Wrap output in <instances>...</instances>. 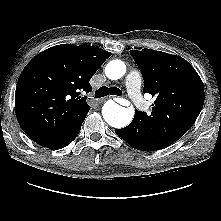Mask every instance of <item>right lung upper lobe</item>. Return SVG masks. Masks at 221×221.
<instances>
[{"instance_id":"obj_1","label":"right lung upper lobe","mask_w":221,"mask_h":221,"mask_svg":"<svg viewBox=\"0 0 221 221\" xmlns=\"http://www.w3.org/2000/svg\"><path fill=\"white\" fill-rule=\"evenodd\" d=\"M112 54L89 45L53 46L34 57L22 71L15 92V112L23 131L50 148L71 136L90 106L80 91Z\"/></svg>"}]
</instances>
